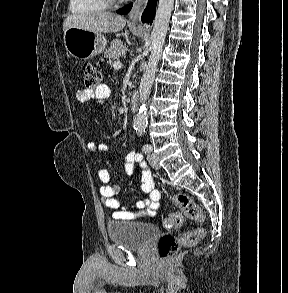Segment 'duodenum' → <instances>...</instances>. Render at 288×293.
I'll return each mask as SVG.
<instances>
[{"label": "duodenum", "mask_w": 288, "mask_h": 293, "mask_svg": "<svg viewBox=\"0 0 288 293\" xmlns=\"http://www.w3.org/2000/svg\"><path fill=\"white\" fill-rule=\"evenodd\" d=\"M138 104H139V94L137 92H133L129 101L130 108L133 111H135L138 108Z\"/></svg>", "instance_id": "410a0bca"}]
</instances>
